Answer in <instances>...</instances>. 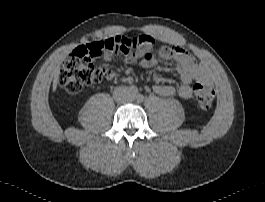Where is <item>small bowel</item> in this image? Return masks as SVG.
Masks as SVG:
<instances>
[{
	"label": "small bowel",
	"instance_id": "obj_1",
	"mask_svg": "<svg viewBox=\"0 0 265 202\" xmlns=\"http://www.w3.org/2000/svg\"><path fill=\"white\" fill-rule=\"evenodd\" d=\"M155 41L153 34H148L145 44H152ZM77 55H92L89 45L81 46L74 50ZM159 55L165 60H170L175 64V67L179 73L181 84L179 87H175L170 84H156L153 89L156 93L162 96H173L178 94L182 99L188 100L193 96L192 84L196 81L204 79V69L198 63L195 62L193 57L189 55L178 45L162 46L159 50ZM105 59H110L111 54L104 52L98 54ZM127 62L138 63L144 68H153L156 66L155 59L146 53L143 48L137 49L133 54L126 57ZM125 82H132V77L129 74L123 78Z\"/></svg>",
	"mask_w": 265,
	"mask_h": 202
}]
</instances>
